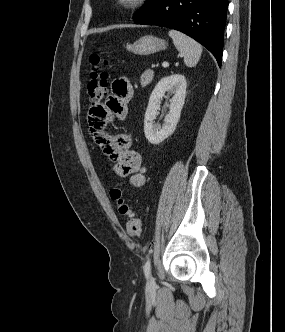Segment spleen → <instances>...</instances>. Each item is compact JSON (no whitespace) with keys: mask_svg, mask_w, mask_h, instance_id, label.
Listing matches in <instances>:
<instances>
[{"mask_svg":"<svg viewBox=\"0 0 285 332\" xmlns=\"http://www.w3.org/2000/svg\"><path fill=\"white\" fill-rule=\"evenodd\" d=\"M169 36L173 39L174 45L184 58L188 67H194L202 54V46L194 39L176 30H170Z\"/></svg>","mask_w":285,"mask_h":332,"instance_id":"3e777b00","label":"spleen"}]
</instances>
